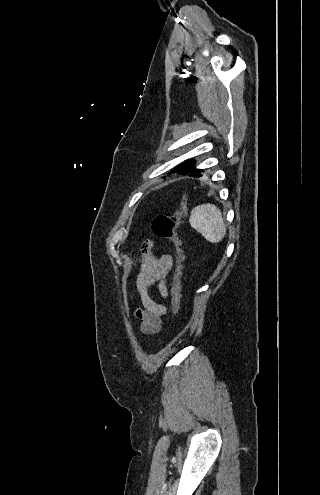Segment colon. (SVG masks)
I'll use <instances>...</instances> for the list:
<instances>
[{
    "label": "colon",
    "mask_w": 320,
    "mask_h": 495,
    "mask_svg": "<svg viewBox=\"0 0 320 495\" xmlns=\"http://www.w3.org/2000/svg\"><path fill=\"white\" fill-rule=\"evenodd\" d=\"M187 206V197L183 196L178 211L174 214H158L152 222L153 233L163 239L169 241L175 252L176 265L172 278L171 294L173 313L176 316L180 309L181 302V285L180 280L183 271L184 252L182 243L177 234V229L181 224Z\"/></svg>",
    "instance_id": "obj_1"
}]
</instances>
